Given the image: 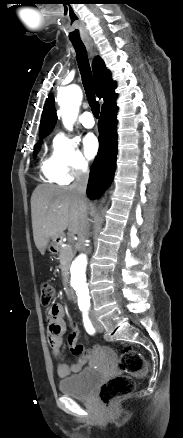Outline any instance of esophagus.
Segmentation results:
<instances>
[{
	"mask_svg": "<svg viewBox=\"0 0 183 438\" xmlns=\"http://www.w3.org/2000/svg\"><path fill=\"white\" fill-rule=\"evenodd\" d=\"M86 47H87V50L89 52L90 57L93 58L97 54L94 44L92 42H87Z\"/></svg>",
	"mask_w": 183,
	"mask_h": 438,
	"instance_id": "esophagus-1",
	"label": "esophagus"
}]
</instances>
